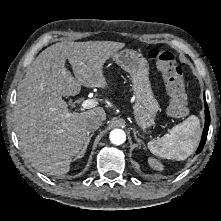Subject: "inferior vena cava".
Wrapping results in <instances>:
<instances>
[{"label":"inferior vena cava","instance_id":"obj_1","mask_svg":"<svg viewBox=\"0 0 221 221\" xmlns=\"http://www.w3.org/2000/svg\"><path fill=\"white\" fill-rule=\"evenodd\" d=\"M102 118L97 115H93L89 117L87 123H86V128L88 132H94L96 131L101 125H102Z\"/></svg>","mask_w":221,"mask_h":221}]
</instances>
